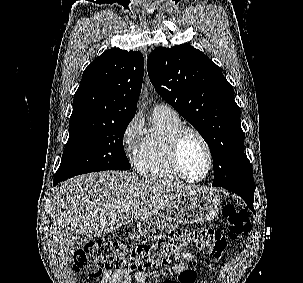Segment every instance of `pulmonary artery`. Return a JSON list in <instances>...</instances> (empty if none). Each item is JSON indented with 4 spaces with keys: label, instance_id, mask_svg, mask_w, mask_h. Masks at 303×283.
<instances>
[{
    "label": "pulmonary artery",
    "instance_id": "obj_1",
    "mask_svg": "<svg viewBox=\"0 0 303 283\" xmlns=\"http://www.w3.org/2000/svg\"><path fill=\"white\" fill-rule=\"evenodd\" d=\"M155 110L156 111H174V110H172L169 106H167V105H157L156 107H155Z\"/></svg>",
    "mask_w": 303,
    "mask_h": 283
}]
</instances>
